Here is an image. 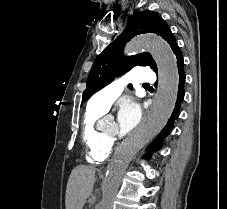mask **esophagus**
I'll return each mask as SVG.
<instances>
[{
  "mask_svg": "<svg viewBox=\"0 0 227 209\" xmlns=\"http://www.w3.org/2000/svg\"><path fill=\"white\" fill-rule=\"evenodd\" d=\"M153 98L155 99L156 96L154 95ZM152 106L153 107H156L157 106V103L156 102H153L152 103ZM151 116H153V108H146V113H145L144 119L145 120H150L151 119Z\"/></svg>",
  "mask_w": 227,
  "mask_h": 209,
  "instance_id": "1",
  "label": "esophagus"
}]
</instances>
